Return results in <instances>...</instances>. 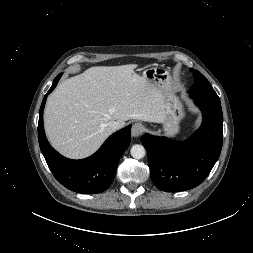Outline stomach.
Returning <instances> with one entry per match:
<instances>
[{
  "label": "stomach",
  "mask_w": 253,
  "mask_h": 253,
  "mask_svg": "<svg viewBox=\"0 0 253 253\" xmlns=\"http://www.w3.org/2000/svg\"><path fill=\"white\" fill-rule=\"evenodd\" d=\"M142 76L149 82L163 87L165 90L166 107L165 118L162 124V131L166 136L173 137L180 131V121L184 116L183 106L179 99L172 92L169 85V73L162 67L146 68Z\"/></svg>",
  "instance_id": "0dacf381"
}]
</instances>
